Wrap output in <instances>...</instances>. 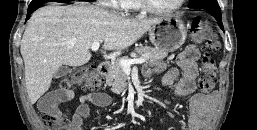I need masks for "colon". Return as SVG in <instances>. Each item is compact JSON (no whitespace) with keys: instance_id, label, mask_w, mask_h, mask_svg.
<instances>
[{"instance_id":"colon-1","label":"colon","mask_w":257,"mask_h":130,"mask_svg":"<svg viewBox=\"0 0 257 130\" xmlns=\"http://www.w3.org/2000/svg\"><path fill=\"white\" fill-rule=\"evenodd\" d=\"M191 34L197 43H204L200 90L204 94H209L214 90L217 82L215 54L219 50V43L213 39L210 27L197 18L192 21ZM102 81V76L96 67L83 68L78 70L73 77L62 80L58 95L62 99H69L76 86L85 91L94 92L101 87ZM38 118L46 130H70L69 120L56 109L42 108L38 113Z\"/></svg>"}]
</instances>
